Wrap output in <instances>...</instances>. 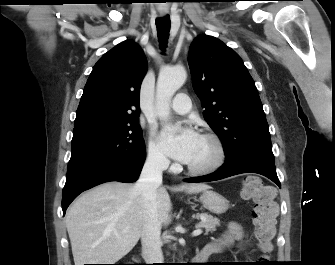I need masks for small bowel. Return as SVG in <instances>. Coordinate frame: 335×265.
Here are the masks:
<instances>
[{
    "mask_svg": "<svg viewBox=\"0 0 335 265\" xmlns=\"http://www.w3.org/2000/svg\"><path fill=\"white\" fill-rule=\"evenodd\" d=\"M234 241H239L240 246H243L244 231L239 224L232 222L229 224L226 232L217 241L210 243V245L217 249L216 252H220L230 248L233 245Z\"/></svg>",
    "mask_w": 335,
    "mask_h": 265,
    "instance_id": "obj_1",
    "label": "small bowel"
}]
</instances>
